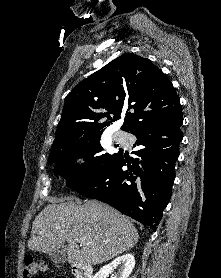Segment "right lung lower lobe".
<instances>
[{
  "label": "right lung lower lobe",
  "instance_id": "98d812e1",
  "mask_svg": "<svg viewBox=\"0 0 221 278\" xmlns=\"http://www.w3.org/2000/svg\"><path fill=\"white\" fill-rule=\"evenodd\" d=\"M182 113L139 126L129 133L137 137L136 157L119 152L93 181L76 191L101 200L154 230L172 193L175 162L182 141ZM127 166V170H122Z\"/></svg>",
  "mask_w": 221,
  "mask_h": 278
}]
</instances>
